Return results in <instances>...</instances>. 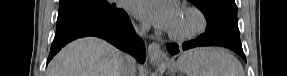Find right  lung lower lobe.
Returning <instances> with one entry per match:
<instances>
[{
  "mask_svg": "<svg viewBox=\"0 0 287 76\" xmlns=\"http://www.w3.org/2000/svg\"><path fill=\"white\" fill-rule=\"evenodd\" d=\"M83 36L103 38L117 48L133 55L141 63L146 59L144 43L135 35L131 21L124 12L121 16L110 21L81 25L64 33L57 34L51 46L47 63L68 42Z\"/></svg>",
  "mask_w": 287,
  "mask_h": 76,
  "instance_id": "98d812e1",
  "label": "right lung lower lobe"
}]
</instances>
